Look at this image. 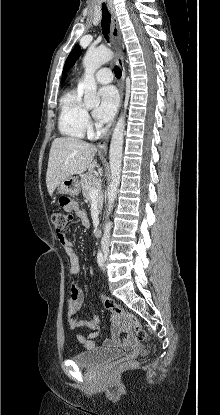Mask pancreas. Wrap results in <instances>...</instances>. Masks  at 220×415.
Listing matches in <instances>:
<instances>
[{
  "label": "pancreas",
  "mask_w": 220,
  "mask_h": 415,
  "mask_svg": "<svg viewBox=\"0 0 220 415\" xmlns=\"http://www.w3.org/2000/svg\"><path fill=\"white\" fill-rule=\"evenodd\" d=\"M99 181L92 173H86L81 175V188L82 194L90 200V191L96 186ZM103 206V194L100 193L98 196V208L101 210Z\"/></svg>",
  "instance_id": "pancreas-1"
}]
</instances>
